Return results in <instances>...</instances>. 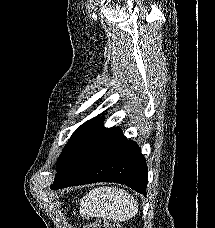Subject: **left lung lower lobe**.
I'll return each mask as SVG.
<instances>
[{
	"label": "left lung lower lobe",
	"mask_w": 215,
	"mask_h": 228,
	"mask_svg": "<svg viewBox=\"0 0 215 228\" xmlns=\"http://www.w3.org/2000/svg\"><path fill=\"white\" fill-rule=\"evenodd\" d=\"M148 169L140 148L119 127L100 125L55 175L53 190L95 182L125 184L146 195Z\"/></svg>",
	"instance_id": "obj_1"
}]
</instances>
